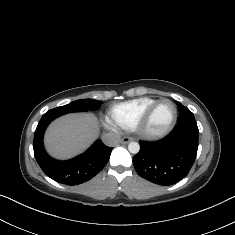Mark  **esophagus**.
Wrapping results in <instances>:
<instances>
[{
  "label": "esophagus",
  "mask_w": 235,
  "mask_h": 235,
  "mask_svg": "<svg viewBox=\"0 0 235 235\" xmlns=\"http://www.w3.org/2000/svg\"><path fill=\"white\" fill-rule=\"evenodd\" d=\"M133 141L132 137L125 136L121 139V144H128L129 142Z\"/></svg>",
  "instance_id": "1"
}]
</instances>
